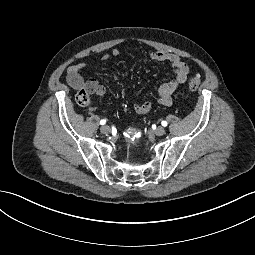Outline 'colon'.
Wrapping results in <instances>:
<instances>
[{"label":"colon","mask_w":255,"mask_h":255,"mask_svg":"<svg viewBox=\"0 0 255 255\" xmlns=\"http://www.w3.org/2000/svg\"><path fill=\"white\" fill-rule=\"evenodd\" d=\"M201 84V80L198 76H193L188 81V87L194 91L198 89ZM76 101L81 106H88L91 104V96L86 89H80L76 94Z\"/></svg>","instance_id":"1"}]
</instances>
